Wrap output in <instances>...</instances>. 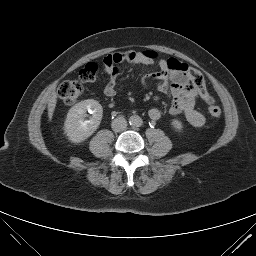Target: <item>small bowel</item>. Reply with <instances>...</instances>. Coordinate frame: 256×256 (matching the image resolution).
I'll return each mask as SVG.
<instances>
[{"mask_svg":"<svg viewBox=\"0 0 256 256\" xmlns=\"http://www.w3.org/2000/svg\"><path fill=\"white\" fill-rule=\"evenodd\" d=\"M118 58L119 62L114 68L104 67L105 73L108 75V81L104 88V93L108 97L116 95L117 81L122 74L120 64L129 63L133 66L137 65H153L156 55L151 51H127L113 54ZM158 71L150 74L143 81L144 85L148 80L157 82V89L160 92H169L173 101L169 108V114L177 116L184 114L186 120L195 127L205 124V116L195 109L197 91L191 84L186 69L189 66L176 59H160L157 61ZM150 119L156 121L161 118V111L158 108H151L148 111Z\"/></svg>","mask_w":256,"mask_h":256,"instance_id":"1","label":"small bowel"}]
</instances>
